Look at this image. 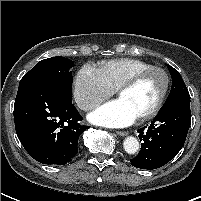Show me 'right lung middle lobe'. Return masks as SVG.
<instances>
[{
	"label": "right lung middle lobe",
	"instance_id": "obj_1",
	"mask_svg": "<svg viewBox=\"0 0 201 201\" xmlns=\"http://www.w3.org/2000/svg\"><path fill=\"white\" fill-rule=\"evenodd\" d=\"M73 66L74 63L70 59L61 56L41 60L23 76L19 85L33 80H43L59 86L65 93L72 95L73 77L70 69Z\"/></svg>",
	"mask_w": 201,
	"mask_h": 201
}]
</instances>
